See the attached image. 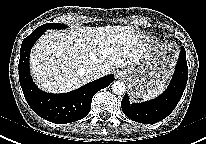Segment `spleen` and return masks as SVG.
Wrapping results in <instances>:
<instances>
[{
  "mask_svg": "<svg viewBox=\"0 0 206 144\" xmlns=\"http://www.w3.org/2000/svg\"><path fill=\"white\" fill-rule=\"evenodd\" d=\"M165 87H166L165 84H163L160 87H158L157 89L150 90L146 94H144L142 96V98L144 100H151V99L157 97L158 94L162 93L165 90Z\"/></svg>",
  "mask_w": 206,
  "mask_h": 144,
  "instance_id": "obj_1",
  "label": "spleen"
}]
</instances>
